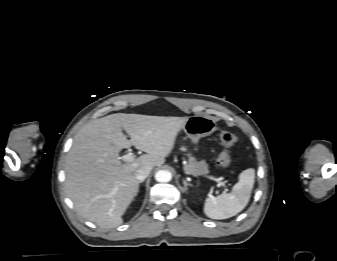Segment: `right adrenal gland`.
<instances>
[{"mask_svg": "<svg viewBox=\"0 0 337 261\" xmlns=\"http://www.w3.org/2000/svg\"><path fill=\"white\" fill-rule=\"evenodd\" d=\"M143 181H139L138 183H142ZM138 191H139V185H138V189H137V193H138Z\"/></svg>", "mask_w": 337, "mask_h": 261, "instance_id": "1", "label": "right adrenal gland"}]
</instances>
